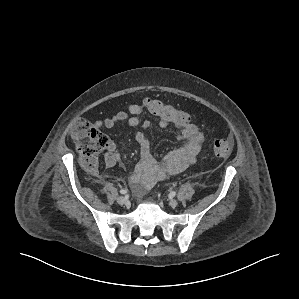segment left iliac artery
<instances>
[{"mask_svg": "<svg viewBox=\"0 0 299 299\" xmlns=\"http://www.w3.org/2000/svg\"><path fill=\"white\" fill-rule=\"evenodd\" d=\"M176 195V192L175 191H172L171 193H170V196L171 197H174Z\"/></svg>", "mask_w": 299, "mask_h": 299, "instance_id": "44dca946", "label": "left iliac artery"}]
</instances>
